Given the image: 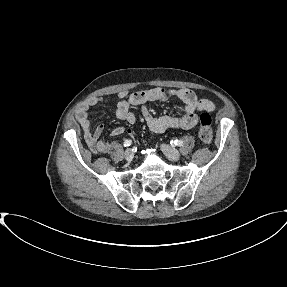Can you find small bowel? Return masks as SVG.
I'll use <instances>...</instances> for the list:
<instances>
[{
    "mask_svg": "<svg viewBox=\"0 0 287 287\" xmlns=\"http://www.w3.org/2000/svg\"><path fill=\"white\" fill-rule=\"evenodd\" d=\"M171 97H176L180 102L182 116H153L147 109L146 104L154 101H167ZM104 97H91L76 112V119L80 124L88 148L92 153L105 152L109 148V142L105 139L100 140L104 126L98 125L92 128L89 120L88 111L91 107L106 103ZM131 106H140L141 113L150 131L161 134L167 130H189L198 125L199 111L212 112L214 104L207 99H198L197 96L188 89L167 90L163 88H152L128 93L123 91L118 95L116 101V117L128 123L135 122V115L130 111ZM124 133L132 134L131 130L124 127H116L111 130V136H119Z\"/></svg>",
    "mask_w": 287,
    "mask_h": 287,
    "instance_id": "c3829d8e",
    "label": "small bowel"
}]
</instances>
